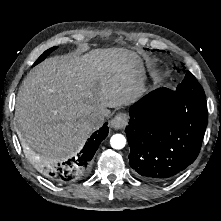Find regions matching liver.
Wrapping results in <instances>:
<instances>
[{"mask_svg":"<svg viewBox=\"0 0 221 221\" xmlns=\"http://www.w3.org/2000/svg\"><path fill=\"white\" fill-rule=\"evenodd\" d=\"M140 57L124 48L94 49L44 60L23 80L16 98L15 117L25 153L36 158L72 154L93 127L95 109L120 107L142 94ZM22 132V134H21Z\"/></svg>","mask_w":221,"mask_h":221,"instance_id":"obj_1","label":"liver"}]
</instances>
